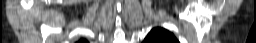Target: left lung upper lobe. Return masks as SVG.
Here are the masks:
<instances>
[{
    "label": "left lung upper lobe",
    "instance_id": "left-lung-upper-lobe-1",
    "mask_svg": "<svg viewBox=\"0 0 256 43\" xmlns=\"http://www.w3.org/2000/svg\"><path fill=\"white\" fill-rule=\"evenodd\" d=\"M143 43H179L175 36L163 28H154L146 36Z\"/></svg>",
    "mask_w": 256,
    "mask_h": 43
}]
</instances>
